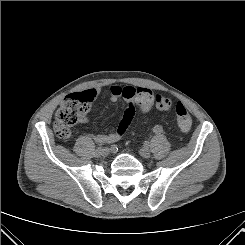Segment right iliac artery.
Wrapping results in <instances>:
<instances>
[{"mask_svg":"<svg viewBox=\"0 0 245 245\" xmlns=\"http://www.w3.org/2000/svg\"><path fill=\"white\" fill-rule=\"evenodd\" d=\"M102 146V144H100V146H99V148L101 149L102 148V151H103V153H108V148L106 147V146H103V147H101Z\"/></svg>","mask_w":245,"mask_h":245,"instance_id":"1","label":"right iliac artery"}]
</instances>
